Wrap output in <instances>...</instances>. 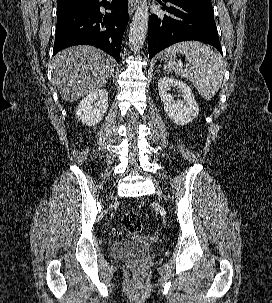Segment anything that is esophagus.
<instances>
[{"mask_svg":"<svg viewBox=\"0 0 272 303\" xmlns=\"http://www.w3.org/2000/svg\"><path fill=\"white\" fill-rule=\"evenodd\" d=\"M138 0H129L128 1V12L129 15H132L137 8Z\"/></svg>","mask_w":272,"mask_h":303,"instance_id":"obj_1","label":"esophagus"}]
</instances>
